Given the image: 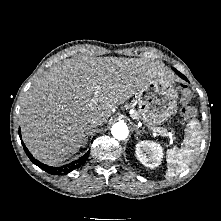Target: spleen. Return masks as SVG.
Wrapping results in <instances>:
<instances>
[{
  "label": "spleen",
  "instance_id": "3e777b00",
  "mask_svg": "<svg viewBox=\"0 0 221 221\" xmlns=\"http://www.w3.org/2000/svg\"><path fill=\"white\" fill-rule=\"evenodd\" d=\"M189 126L191 130L186 136L184 147L167 150L166 161L168 169L166 171V177L168 178L185 171L198 153L201 139L199 122L192 120Z\"/></svg>",
  "mask_w": 221,
  "mask_h": 221
}]
</instances>
